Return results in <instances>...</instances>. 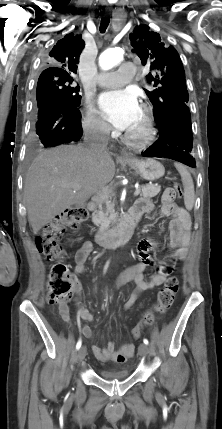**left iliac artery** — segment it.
Instances as JSON below:
<instances>
[{
  "label": "left iliac artery",
  "mask_w": 222,
  "mask_h": 429,
  "mask_svg": "<svg viewBox=\"0 0 222 429\" xmlns=\"http://www.w3.org/2000/svg\"><path fill=\"white\" fill-rule=\"evenodd\" d=\"M143 342H144V344H146V345H148V344H149V341H148L147 339H144V340H143Z\"/></svg>",
  "instance_id": "left-iliac-artery-1"
}]
</instances>
